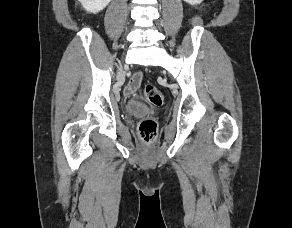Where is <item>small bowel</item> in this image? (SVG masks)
Segmentation results:
<instances>
[{"instance_id": "c3829d8e", "label": "small bowel", "mask_w": 292, "mask_h": 228, "mask_svg": "<svg viewBox=\"0 0 292 228\" xmlns=\"http://www.w3.org/2000/svg\"><path fill=\"white\" fill-rule=\"evenodd\" d=\"M143 80L142 72H136L130 79L129 83L124 88V94L126 96L133 95L136 90L140 87Z\"/></svg>"}]
</instances>
